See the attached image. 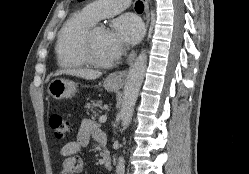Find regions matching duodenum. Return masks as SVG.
Here are the masks:
<instances>
[{"label":"duodenum","instance_id":"410a0bca","mask_svg":"<svg viewBox=\"0 0 249 174\" xmlns=\"http://www.w3.org/2000/svg\"><path fill=\"white\" fill-rule=\"evenodd\" d=\"M102 159H103L104 167L108 171H111L113 169V164H112L110 153L106 148H104V150L102 152Z\"/></svg>","mask_w":249,"mask_h":174}]
</instances>
